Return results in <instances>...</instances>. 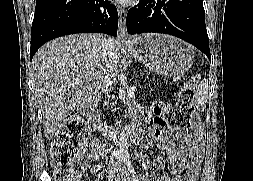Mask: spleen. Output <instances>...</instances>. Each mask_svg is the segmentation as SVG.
Wrapping results in <instances>:
<instances>
[{"instance_id": "3e777b00", "label": "spleen", "mask_w": 253, "mask_h": 181, "mask_svg": "<svg viewBox=\"0 0 253 181\" xmlns=\"http://www.w3.org/2000/svg\"><path fill=\"white\" fill-rule=\"evenodd\" d=\"M208 82L207 80L200 81L198 89L195 93V101L197 110H204L208 98Z\"/></svg>"}]
</instances>
